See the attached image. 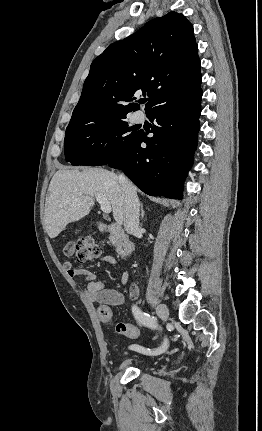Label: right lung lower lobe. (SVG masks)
Here are the masks:
<instances>
[{"mask_svg": "<svg viewBox=\"0 0 262 431\" xmlns=\"http://www.w3.org/2000/svg\"><path fill=\"white\" fill-rule=\"evenodd\" d=\"M202 90L191 96L155 108L147 116L157 125L146 137H136L109 167L121 169L134 184L151 196L182 198L183 182L193 163L197 145ZM147 147L142 148L141 143Z\"/></svg>", "mask_w": 262, "mask_h": 431, "instance_id": "right-lung-lower-lobe-1", "label": "right lung lower lobe"}]
</instances>
